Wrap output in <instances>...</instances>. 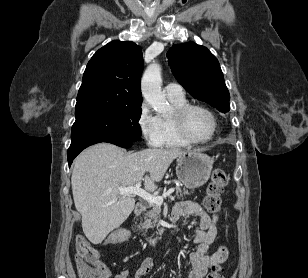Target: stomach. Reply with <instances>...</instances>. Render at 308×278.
<instances>
[{"label":"stomach","mask_w":308,"mask_h":278,"mask_svg":"<svg viewBox=\"0 0 308 278\" xmlns=\"http://www.w3.org/2000/svg\"><path fill=\"white\" fill-rule=\"evenodd\" d=\"M212 165L210 156L199 151H189L178 157L176 175L185 187L195 189L208 181Z\"/></svg>","instance_id":"1"}]
</instances>
